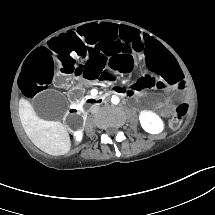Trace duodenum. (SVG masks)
Wrapping results in <instances>:
<instances>
[{
  "label": "duodenum",
  "mask_w": 215,
  "mask_h": 215,
  "mask_svg": "<svg viewBox=\"0 0 215 215\" xmlns=\"http://www.w3.org/2000/svg\"><path fill=\"white\" fill-rule=\"evenodd\" d=\"M123 92L121 89H111L109 91H107L106 93L104 94H100L96 97H93V98H89L87 100V103L89 104H100L102 103L105 99H107L108 97L110 96H113V95H122ZM70 111L74 114H79L81 112V108H80V105H75L73 106Z\"/></svg>",
  "instance_id": "1"
}]
</instances>
